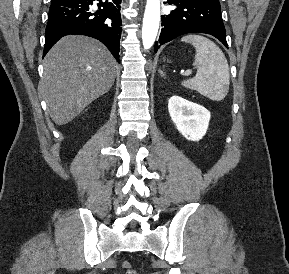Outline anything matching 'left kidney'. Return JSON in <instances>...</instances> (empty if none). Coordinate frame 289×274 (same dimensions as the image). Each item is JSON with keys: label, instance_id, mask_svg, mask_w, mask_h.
<instances>
[{"label": "left kidney", "instance_id": "5707ae66", "mask_svg": "<svg viewBox=\"0 0 289 274\" xmlns=\"http://www.w3.org/2000/svg\"><path fill=\"white\" fill-rule=\"evenodd\" d=\"M168 110L178 131L190 141H199L206 134L210 112L196 103L179 96L168 101Z\"/></svg>", "mask_w": 289, "mask_h": 274}]
</instances>
